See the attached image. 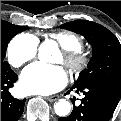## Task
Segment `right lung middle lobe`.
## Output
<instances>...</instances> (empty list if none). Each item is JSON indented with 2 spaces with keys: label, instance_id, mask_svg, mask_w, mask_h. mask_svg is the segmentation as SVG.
Segmentation results:
<instances>
[{
  "label": "right lung middle lobe",
  "instance_id": "1",
  "mask_svg": "<svg viewBox=\"0 0 121 121\" xmlns=\"http://www.w3.org/2000/svg\"><path fill=\"white\" fill-rule=\"evenodd\" d=\"M27 28L28 27L26 26H17L7 21L1 20V67H9V64L4 62L3 59L5 57L6 48L11 38Z\"/></svg>",
  "mask_w": 121,
  "mask_h": 121
}]
</instances>
